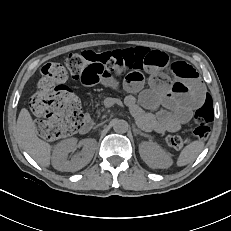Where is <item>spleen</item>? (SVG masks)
I'll use <instances>...</instances> for the list:
<instances>
[{
  "instance_id": "obj_1",
  "label": "spleen",
  "mask_w": 231,
  "mask_h": 231,
  "mask_svg": "<svg viewBox=\"0 0 231 231\" xmlns=\"http://www.w3.org/2000/svg\"><path fill=\"white\" fill-rule=\"evenodd\" d=\"M203 148L204 142L199 140L193 141L185 146L177 158V166H185L193 162L202 152Z\"/></svg>"
}]
</instances>
